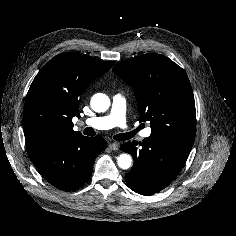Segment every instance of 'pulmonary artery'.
Returning <instances> with one entry per match:
<instances>
[{"label": "pulmonary artery", "mask_w": 236, "mask_h": 236, "mask_svg": "<svg viewBox=\"0 0 236 236\" xmlns=\"http://www.w3.org/2000/svg\"><path fill=\"white\" fill-rule=\"evenodd\" d=\"M126 107L127 100L123 95L117 94L113 97L111 109L108 114L99 117L86 119L84 122L96 129L107 130L113 127H126ZM142 138H148L151 135V129H145L140 132Z\"/></svg>", "instance_id": "obj_1"}]
</instances>
